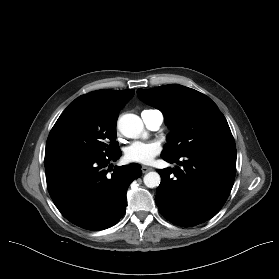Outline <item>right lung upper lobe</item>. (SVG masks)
Listing matches in <instances>:
<instances>
[{
    "mask_svg": "<svg viewBox=\"0 0 279 279\" xmlns=\"http://www.w3.org/2000/svg\"><path fill=\"white\" fill-rule=\"evenodd\" d=\"M133 90H97L78 97L100 116L117 120L119 111L133 97Z\"/></svg>",
    "mask_w": 279,
    "mask_h": 279,
    "instance_id": "obj_1",
    "label": "right lung upper lobe"
}]
</instances>
